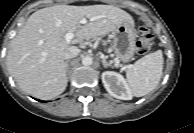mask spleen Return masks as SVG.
<instances>
[{
  "label": "spleen",
  "instance_id": "obj_1",
  "mask_svg": "<svg viewBox=\"0 0 194 133\" xmlns=\"http://www.w3.org/2000/svg\"><path fill=\"white\" fill-rule=\"evenodd\" d=\"M163 62L162 51L157 50L127 69V83L134 96L141 97L155 89L162 76Z\"/></svg>",
  "mask_w": 194,
  "mask_h": 133
}]
</instances>
